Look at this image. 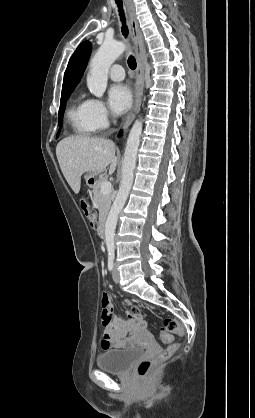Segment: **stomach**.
I'll return each mask as SVG.
<instances>
[{"label":"stomach","mask_w":255,"mask_h":418,"mask_svg":"<svg viewBox=\"0 0 255 418\" xmlns=\"http://www.w3.org/2000/svg\"><path fill=\"white\" fill-rule=\"evenodd\" d=\"M97 176H98V173H95V172H88L87 174H85L84 177L89 187H94L97 184V181H98Z\"/></svg>","instance_id":"stomach-1"}]
</instances>
